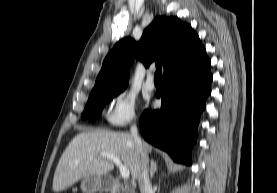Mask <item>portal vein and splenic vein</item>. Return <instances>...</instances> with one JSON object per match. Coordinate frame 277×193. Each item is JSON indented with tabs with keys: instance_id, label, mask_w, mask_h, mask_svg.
<instances>
[{
	"instance_id": "obj_1",
	"label": "portal vein and splenic vein",
	"mask_w": 277,
	"mask_h": 193,
	"mask_svg": "<svg viewBox=\"0 0 277 193\" xmlns=\"http://www.w3.org/2000/svg\"><path fill=\"white\" fill-rule=\"evenodd\" d=\"M100 156L107 158V159L111 160L112 162H114L116 164V166L119 168L120 174L123 179L127 180L130 177L129 169L127 167L123 166L121 160L118 157H116L113 154L107 153V152L100 153Z\"/></svg>"
}]
</instances>
